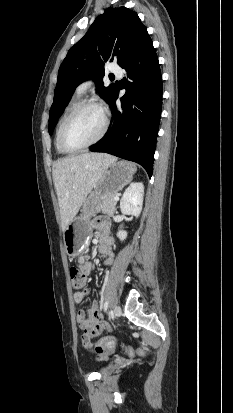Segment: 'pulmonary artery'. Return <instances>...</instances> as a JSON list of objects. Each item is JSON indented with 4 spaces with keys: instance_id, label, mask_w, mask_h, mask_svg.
I'll use <instances>...</instances> for the list:
<instances>
[{
    "instance_id": "e3ab8cb5",
    "label": "pulmonary artery",
    "mask_w": 233,
    "mask_h": 413,
    "mask_svg": "<svg viewBox=\"0 0 233 413\" xmlns=\"http://www.w3.org/2000/svg\"><path fill=\"white\" fill-rule=\"evenodd\" d=\"M110 71L112 73L116 74L118 77H120L122 75V70L118 66H112L110 68ZM92 84H93L92 80H86V81L82 82L81 84L78 85V87L76 89V93L78 95L85 94L91 88Z\"/></svg>"
}]
</instances>
